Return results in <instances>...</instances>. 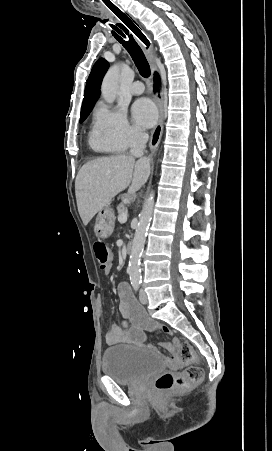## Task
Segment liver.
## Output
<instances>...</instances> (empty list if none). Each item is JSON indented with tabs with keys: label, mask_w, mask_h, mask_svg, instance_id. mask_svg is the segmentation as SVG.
Segmentation results:
<instances>
[{
	"label": "liver",
	"mask_w": 272,
	"mask_h": 451,
	"mask_svg": "<svg viewBox=\"0 0 272 451\" xmlns=\"http://www.w3.org/2000/svg\"><path fill=\"white\" fill-rule=\"evenodd\" d=\"M150 170L149 158L135 162L132 156H109L84 164L75 180L77 208L84 226L129 184L128 196L138 192Z\"/></svg>",
	"instance_id": "liver-1"
}]
</instances>
